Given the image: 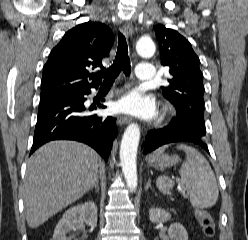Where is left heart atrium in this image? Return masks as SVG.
<instances>
[{
    "label": "left heart atrium",
    "instance_id": "1",
    "mask_svg": "<svg viewBox=\"0 0 248 240\" xmlns=\"http://www.w3.org/2000/svg\"><path fill=\"white\" fill-rule=\"evenodd\" d=\"M119 111L144 117L151 118L155 115V103L151 97L143 95L140 90H131L125 94L118 102Z\"/></svg>",
    "mask_w": 248,
    "mask_h": 240
}]
</instances>
